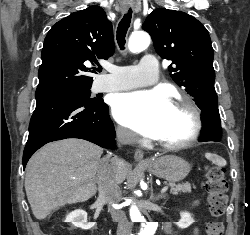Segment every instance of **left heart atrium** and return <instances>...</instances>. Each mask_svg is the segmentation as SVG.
Returning a JSON list of instances; mask_svg holds the SVG:
<instances>
[{
	"mask_svg": "<svg viewBox=\"0 0 250 235\" xmlns=\"http://www.w3.org/2000/svg\"><path fill=\"white\" fill-rule=\"evenodd\" d=\"M171 107L168 96L161 90L137 91L118 95L113 114L120 124L143 136L154 137Z\"/></svg>",
	"mask_w": 250,
	"mask_h": 235,
	"instance_id": "1",
	"label": "left heart atrium"
}]
</instances>
